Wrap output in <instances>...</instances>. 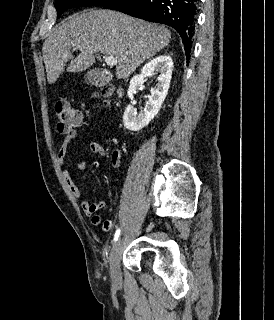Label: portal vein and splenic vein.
Masks as SVG:
<instances>
[{
    "label": "portal vein and splenic vein",
    "instance_id": "obj_1",
    "mask_svg": "<svg viewBox=\"0 0 274 320\" xmlns=\"http://www.w3.org/2000/svg\"><path fill=\"white\" fill-rule=\"evenodd\" d=\"M102 58L107 66H117V58H114V56H107V54H105Z\"/></svg>",
    "mask_w": 274,
    "mask_h": 320
}]
</instances>
